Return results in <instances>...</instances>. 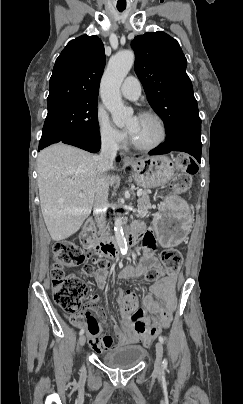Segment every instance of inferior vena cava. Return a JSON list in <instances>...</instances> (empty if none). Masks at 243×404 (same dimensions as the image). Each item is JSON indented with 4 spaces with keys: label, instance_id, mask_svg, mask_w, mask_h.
Instances as JSON below:
<instances>
[{
    "label": "inferior vena cava",
    "instance_id": "inferior-vena-cava-1",
    "mask_svg": "<svg viewBox=\"0 0 243 404\" xmlns=\"http://www.w3.org/2000/svg\"><path fill=\"white\" fill-rule=\"evenodd\" d=\"M101 142V154L100 156H97V188L94 202V216L97 222V228H99V232H101V234H105L110 180V176H108V170H112L113 168V162L116 158L118 144L115 138H111L109 134H104V136H102Z\"/></svg>",
    "mask_w": 243,
    "mask_h": 404
}]
</instances>
